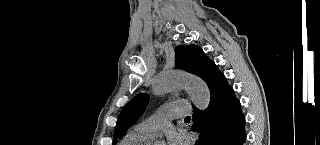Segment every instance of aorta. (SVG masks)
I'll list each match as a JSON object with an SVG mask.
<instances>
[{
  "mask_svg": "<svg viewBox=\"0 0 320 145\" xmlns=\"http://www.w3.org/2000/svg\"><path fill=\"white\" fill-rule=\"evenodd\" d=\"M152 86L157 95L186 88L193 104L200 110H205L210 103V91L207 84L199 77L183 72H161L154 78Z\"/></svg>",
  "mask_w": 320,
  "mask_h": 145,
  "instance_id": "aorta-1",
  "label": "aorta"
}]
</instances>
